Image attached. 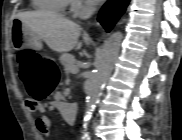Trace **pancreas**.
<instances>
[{"label":"pancreas","instance_id":"pancreas-1","mask_svg":"<svg viewBox=\"0 0 182 140\" xmlns=\"http://www.w3.org/2000/svg\"><path fill=\"white\" fill-rule=\"evenodd\" d=\"M62 65L66 72H72L75 68H77L76 60L74 56L65 54L60 58Z\"/></svg>","mask_w":182,"mask_h":140}]
</instances>
